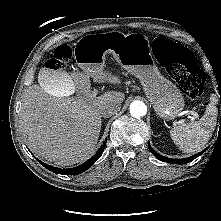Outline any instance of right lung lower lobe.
<instances>
[{
    "label": "right lung lower lobe",
    "instance_id": "obj_1",
    "mask_svg": "<svg viewBox=\"0 0 221 221\" xmlns=\"http://www.w3.org/2000/svg\"><path fill=\"white\" fill-rule=\"evenodd\" d=\"M105 144H106V140L103 142L102 146L100 147V149L97 151V153L94 156H92L90 159H88L83 164H81L77 167H74V168L60 169V168H55L50 165H47L40 160H38V162L41 165H43L45 168H47L48 170H50L54 173H57V174L59 173V174H64V175H77V174H80V173L86 171L87 169H89L101 157V155L104 151V148H105Z\"/></svg>",
    "mask_w": 221,
    "mask_h": 221
}]
</instances>
